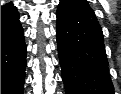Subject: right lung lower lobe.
I'll return each mask as SVG.
<instances>
[{
  "label": "right lung lower lobe",
  "mask_w": 121,
  "mask_h": 94,
  "mask_svg": "<svg viewBox=\"0 0 121 94\" xmlns=\"http://www.w3.org/2000/svg\"><path fill=\"white\" fill-rule=\"evenodd\" d=\"M26 45L16 8L1 7V94H23Z\"/></svg>",
  "instance_id": "right-lung-lower-lobe-1"
}]
</instances>
